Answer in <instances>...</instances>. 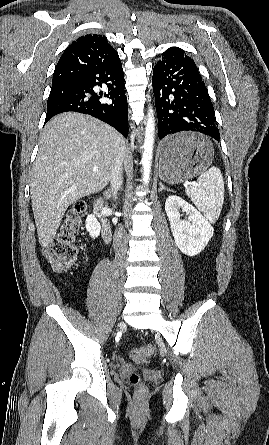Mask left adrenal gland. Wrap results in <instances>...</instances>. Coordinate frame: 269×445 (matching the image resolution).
Here are the masks:
<instances>
[{
    "mask_svg": "<svg viewBox=\"0 0 269 445\" xmlns=\"http://www.w3.org/2000/svg\"><path fill=\"white\" fill-rule=\"evenodd\" d=\"M159 185H160L159 192H161L162 190H167L168 192H173L171 189L166 188V187L162 184V182H160Z\"/></svg>",
    "mask_w": 269,
    "mask_h": 445,
    "instance_id": "1",
    "label": "left adrenal gland"
}]
</instances>
